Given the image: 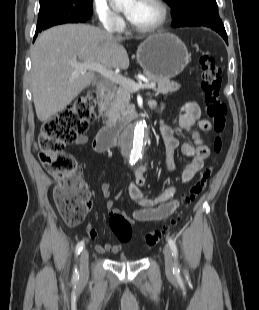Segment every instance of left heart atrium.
Segmentation results:
<instances>
[{"instance_id": "1", "label": "left heart atrium", "mask_w": 259, "mask_h": 310, "mask_svg": "<svg viewBox=\"0 0 259 310\" xmlns=\"http://www.w3.org/2000/svg\"><path fill=\"white\" fill-rule=\"evenodd\" d=\"M126 15H127L128 19L130 20V18H131V16H132V10H128V11L126 12Z\"/></svg>"}]
</instances>
